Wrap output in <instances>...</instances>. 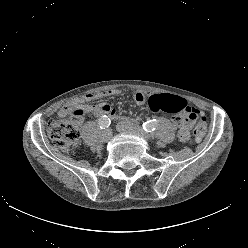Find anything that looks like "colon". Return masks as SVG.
Listing matches in <instances>:
<instances>
[{"label": "colon", "instance_id": "obj_1", "mask_svg": "<svg viewBox=\"0 0 248 248\" xmlns=\"http://www.w3.org/2000/svg\"><path fill=\"white\" fill-rule=\"evenodd\" d=\"M148 106L153 112L163 111L173 114H187L190 119L197 122L193 131L194 142L198 143L202 140L205 134V117L198 109L189 107L183 98L169 94H155L148 98ZM84 114L85 108L80 106L72 112L74 121L55 119L49 122L47 126L48 137L60 151L67 153L77 145L80 132L76 118L82 117Z\"/></svg>", "mask_w": 248, "mask_h": 248}]
</instances>
